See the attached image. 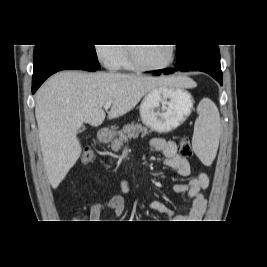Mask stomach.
Masks as SVG:
<instances>
[{
	"label": "stomach",
	"mask_w": 267,
	"mask_h": 267,
	"mask_svg": "<svg viewBox=\"0 0 267 267\" xmlns=\"http://www.w3.org/2000/svg\"><path fill=\"white\" fill-rule=\"evenodd\" d=\"M193 97L183 87L167 86L149 91L140 105L142 122L160 133L180 126L190 115Z\"/></svg>",
	"instance_id": "0dacf381"
}]
</instances>
